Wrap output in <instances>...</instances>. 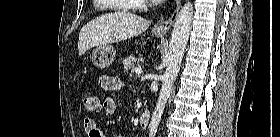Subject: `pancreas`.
I'll list each match as a JSON object with an SVG mask.
<instances>
[{
  "label": "pancreas",
  "instance_id": "obj_1",
  "mask_svg": "<svg viewBox=\"0 0 280 137\" xmlns=\"http://www.w3.org/2000/svg\"><path fill=\"white\" fill-rule=\"evenodd\" d=\"M124 70L125 72H129L130 74L134 72V70L138 66L137 59L134 55H131L127 57L125 60H123Z\"/></svg>",
  "mask_w": 280,
  "mask_h": 137
}]
</instances>
